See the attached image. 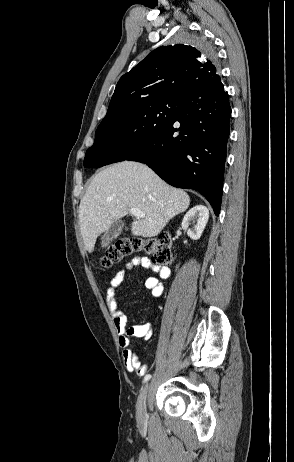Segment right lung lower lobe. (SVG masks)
<instances>
[{
	"mask_svg": "<svg viewBox=\"0 0 294 462\" xmlns=\"http://www.w3.org/2000/svg\"><path fill=\"white\" fill-rule=\"evenodd\" d=\"M231 108L220 77L189 91L175 116L125 160L147 164L167 183L195 189L220 212ZM93 153L85 167H102Z\"/></svg>",
	"mask_w": 294,
	"mask_h": 462,
	"instance_id": "obj_1",
	"label": "right lung lower lobe"
}]
</instances>
